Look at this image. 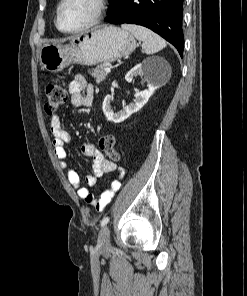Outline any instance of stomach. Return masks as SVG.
<instances>
[{"instance_id":"0dacf381","label":"stomach","mask_w":247,"mask_h":296,"mask_svg":"<svg viewBox=\"0 0 247 296\" xmlns=\"http://www.w3.org/2000/svg\"><path fill=\"white\" fill-rule=\"evenodd\" d=\"M136 48L134 36L106 25L73 36L68 44L46 43L40 50V63L49 72H59L71 64L85 66L113 62Z\"/></svg>"}]
</instances>
